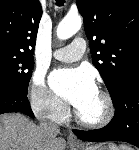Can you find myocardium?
Segmentation results:
<instances>
[{
    "label": "myocardium",
    "mask_w": 139,
    "mask_h": 150,
    "mask_svg": "<svg viewBox=\"0 0 139 150\" xmlns=\"http://www.w3.org/2000/svg\"><path fill=\"white\" fill-rule=\"evenodd\" d=\"M97 92L102 97L105 104V114L101 119L97 121H88L81 117L77 108L74 111L76 122L85 128H89V129L104 128L111 123V121L115 116L116 108L111 94L103 89H98Z\"/></svg>",
    "instance_id": "myocardium-1"
}]
</instances>
